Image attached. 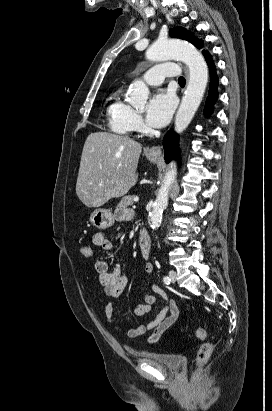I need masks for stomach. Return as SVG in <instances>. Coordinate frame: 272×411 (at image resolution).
Instances as JSON below:
<instances>
[{"instance_id": "stomach-1", "label": "stomach", "mask_w": 272, "mask_h": 411, "mask_svg": "<svg viewBox=\"0 0 272 411\" xmlns=\"http://www.w3.org/2000/svg\"><path fill=\"white\" fill-rule=\"evenodd\" d=\"M151 162H156L158 157L147 155ZM91 224L98 229H106L114 224V216L108 209L98 208L94 210L89 217Z\"/></svg>"}]
</instances>
